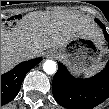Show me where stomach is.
I'll return each instance as SVG.
<instances>
[{
  "instance_id": "obj_1",
  "label": "stomach",
  "mask_w": 109,
  "mask_h": 109,
  "mask_svg": "<svg viewBox=\"0 0 109 109\" xmlns=\"http://www.w3.org/2000/svg\"><path fill=\"white\" fill-rule=\"evenodd\" d=\"M56 56L75 74L97 70L104 64L107 54L105 41L80 35L70 39L63 47L54 48Z\"/></svg>"
}]
</instances>
